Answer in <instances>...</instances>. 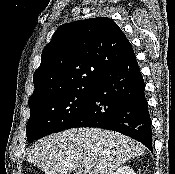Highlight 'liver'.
Here are the masks:
<instances>
[{"instance_id": "obj_1", "label": "liver", "mask_w": 175, "mask_h": 174, "mask_svg": "<svg viewBox=\"0 0 175 174\" xmlns=\"http://www.w3.org/2000/svg\"><path fill=\"white\" fill-rule=\"evenodd\" d=\"M144 151V145L121 133L75 128L38 141L28 151L27 160L45 174H70L79 167L85 168L84 174H113L120 165Z\"/></svg>"}]
</instances>
